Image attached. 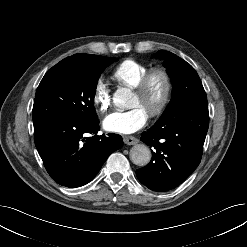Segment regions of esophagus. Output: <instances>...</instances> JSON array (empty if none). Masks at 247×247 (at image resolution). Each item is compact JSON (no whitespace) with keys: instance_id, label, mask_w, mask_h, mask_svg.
<instances>
[{"instance_id":"obj_1","label":"esophagus","mask_w":247,"mask_h":247,"mask_svg":"<svg viewBox=\"0 0 247 247\" xmlns=\"http://www.w3.org/2000/svg\"><path fill=\"white\" fill-rule=\"evenodd\" d=\"M123 141L127 145H134L138 143V139L135 138L134 136H123Z\"/></svg>"}]
</instances>
